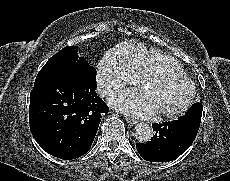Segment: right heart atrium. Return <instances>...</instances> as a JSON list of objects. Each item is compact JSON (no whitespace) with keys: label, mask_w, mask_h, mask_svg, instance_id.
<instances>
[{"label":"right heart atrium","mask_w":230,"mask_h":181,"mask_svg":"<svg viewBox=\"0 0 230 181\" xmlns=\"http://www.w3.org/2000/svg\"><path fill=\"white\" fill-rule=\"evenodd\" d=\"M96 77L100 92L109 96L136 82V78L128 70L112 64L107 56L99 62Z\"/></svg>","instance_id":"d8ad5b80"}]
</instances>
